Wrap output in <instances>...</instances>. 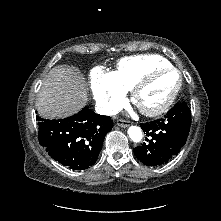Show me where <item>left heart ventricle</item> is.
<instances>
[{
  "label": "left heart ventricle",
  "mask_w": 221,
  "mask_h": 221,
  "mask_svg": "<svg viewBox=\"0 0 221 221\" xmlns=\"http://www.w3.org/2000/svg\"><path fill=\"white\" fill-rule=\"evenodd\" d=\"M178 77L174 72L157 76L138 96V103L145 108H156L163 104L177 85Z\"/></svg>",
  "instance_id": "1"
}]
</instances>
